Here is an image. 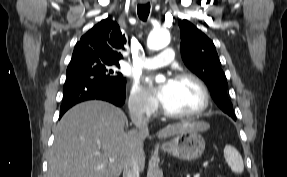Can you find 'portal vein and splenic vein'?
<instances>
[{"mask_svg":"<svg viewBox=\"0 0 287 177\" xmlns=\"http://www.w3.org/2000/svg\"><path fill=\"white\" fill-rule=\"evenodd\" d=\"M109 161H110V162H113L114 159H113V158H110ZM194 177H200V174H196V175H194Z\"/></svg>","mask_w":287,"mask_h":177,"instance_id":"portal-vein-and-splenic-vein-1","label":"portal vein and splenic vein"}]
</instances>
